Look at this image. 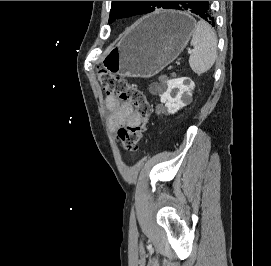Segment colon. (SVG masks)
Listing matches in <instances>:
<instances>
[{
	"label": "colon",
	"instance_id": "1",
	"mask_svg": "<svg viewBox=\"0 0 271 266\" xmlns=\"http://www.w3.org/2000/svg\"><path fill=\"white\" fill-rule=\"evenodd\" d=\"M98 80L108 95L120 98L134 105L140 122L134 126H122L117 132V141L125 151L137 149L151 115V105L145 92L137 85L106 69L98 71Z\"/></svg>",
	"mask_w": 271,
	"mask_h": 266
}]
</instances>
